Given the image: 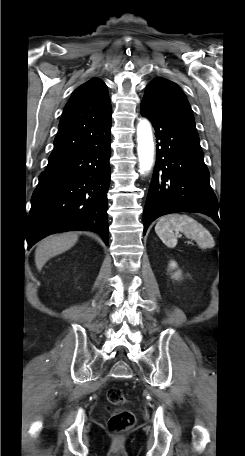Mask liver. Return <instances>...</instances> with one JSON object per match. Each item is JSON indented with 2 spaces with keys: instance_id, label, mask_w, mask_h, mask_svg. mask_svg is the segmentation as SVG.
Here are the masks:
<instances>
[{
  "instance_id": "liver-1",
  "label": "liver",
  "mask_w": 245,
  "mask_h": 456,
  "mask_svg": "<svg viewBox=\"0 0 245 456\" xmlns=\"http://www.w3.org/2000/svg\"><path fill=\"white\" fill-rule=\"evenodd\" d=\"M78 240L76 232H66L50 236L41 241L35 250V264L39 271L52 257L59 255L75 245Z\"/></svg>"
}]
</instances>
